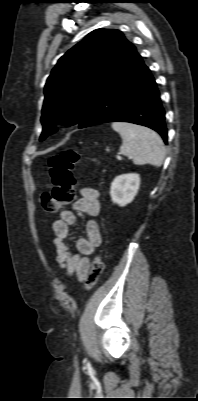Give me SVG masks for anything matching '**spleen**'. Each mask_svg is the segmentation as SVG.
<instances>
[{
    "label": "spleen",
    "instance_id": "1",
    "mask_svg": "<svg viewBox=\"0 0 198 401\" xmlns=\"http://www.w3.org/2000/svg\"><path fill=\"white\" fill-rule=\"evenodd\" d=\"M112 128L122 138L120 154L132 158L134 164L160 167L166 149L161 137L153 130L125 122H114Z\"/></svg>",
    "mask_w": 198,
    "mask_h": 401
}]
</instances>
